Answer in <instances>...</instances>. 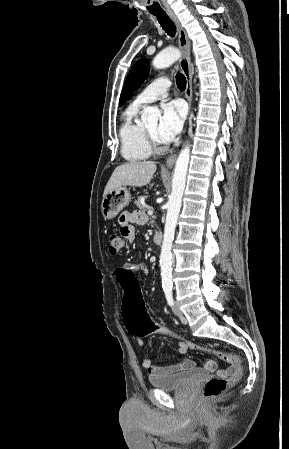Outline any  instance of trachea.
Masks as SVG:
<instances>
[{
    "mask_svg": "<svg viewBox=\"0 0 289 449\" xmlns=\"http://www.w3.org/2000/svg\"><path fill=\"white\" fill-rule=\"evenodd\" d=\"M160 23L163 30L171 37L176 34V26L174 22L166 13H152ZM176 84L180 90H185L186 88V78L182 73L176 74Z\"/></svg>",
    "mask_w": 289,
    "mask_h": 449,
    "instance_id": "trachea-1",
    "label": "trachea"
}]
</instances>
